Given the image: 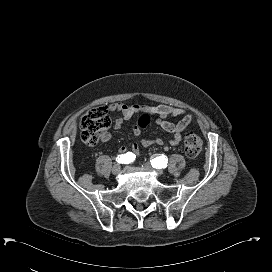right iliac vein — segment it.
<instances>
[{
	"mask_svg": "<svg viewBox=\"0 0 272 272\" xmlns=\"http://www.w3.org/2000/svg\"><path fill=\"white\" fill-rule=\"evenodd\" d=\"M121 170V166L119 164H115L113 167H112V173L114 175H117Z\"/></svg>",
	"mask_w": 272,
	"mask_h": 272,
	"instance_id": "obj_1",
	"label": "right iliac vein"
}]
</instances>
